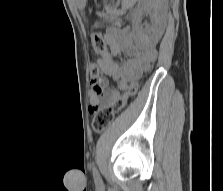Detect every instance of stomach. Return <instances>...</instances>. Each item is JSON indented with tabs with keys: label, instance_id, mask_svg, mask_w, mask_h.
I'll return each instance as SVG.
<instances>
[{
	"label": "stomach",
	"instance_id": "obj_1",
	"mask_svg": "<svg viewBox=\"0 0 223 191\" xmlns=\"http://www.w3.org/2000/svg\"><path fill=\"white\" fill-rule=\"evenodd\" d=\"M79 7L84 8L86 4V0H76Z\"/></svg>",
	"mask_w": 223,
	"mask_h": 191
}]
</instances>
